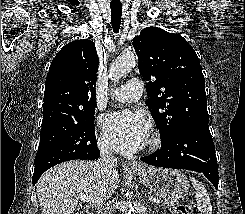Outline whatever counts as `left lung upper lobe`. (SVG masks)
Listing matches in <instances>:
<instances>
[{
  "label": "left lung upper lobe",
  "mask_w": 245,
  "mask_h": 214,
  "mask_svg": "<svg viewBox=\"0 0 245 214\" xmlns=\"http://www.w3.org/2000/svg\"><path fill=\"white\" fill-rule=\"evenodd\" d=\"M146 106L167 144L194 124H208L205 79L194 49L179 34L147 27L133 39Z\"/></svg>",
  "instance_id": "obj_1"
}]
</instances>
